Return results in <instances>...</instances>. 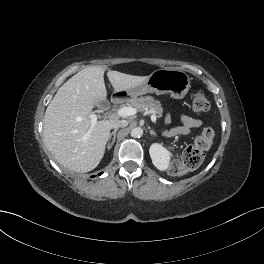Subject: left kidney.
Segmentation results:
<instances>
[{"label": "left kidney", "mask_w": 264, "mask_h": 264, "mask_svg": "<svg viewBox=\"0 0 264 264\" xmlns=\"http://www.w3.org/2000/svg\"><path fill=\"white\" fill-rule=\"evenodd\" d=\"M149 153L157 169L164 171L169 168L171 153L164 146L154 143L150 146Z\"/></svg>", "instance_id": "obj_1"}]
</instances>
